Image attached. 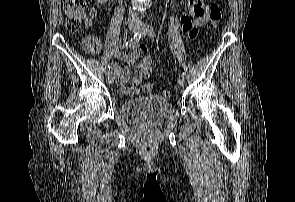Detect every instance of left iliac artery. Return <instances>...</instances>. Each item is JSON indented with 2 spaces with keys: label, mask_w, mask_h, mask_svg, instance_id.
<instances>
[{
  "label": "left iliac artery",
  "mask_w": 295,
  "mask_h": 202,
  "mask_svg": "<svg viewBox=\"0 0 295 202\" xmlns=\"http://www.w3.org/2000/svg\"><path fill=\"white\" fill-rule=\"evenodd\" d=\"M147 33L149 34L150 37L152 38L155 37V31L151 25L147 26ZM181 77L186 78V73L182 72Z\"/></svg>",
  "instance_id": "obj_1"
}]
</instances>
